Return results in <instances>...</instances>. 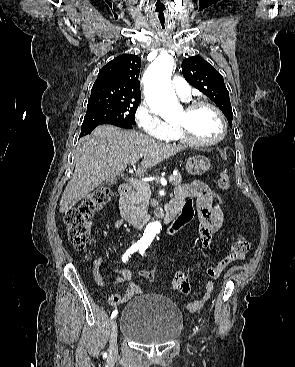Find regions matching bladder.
Segmentation results:
<instances>
[{"label": "bladder", "instance_id": "bladder-1", "mask_svg": "<svg viewBox=\"0 0 295 367\" xmlns=\"http://www.w3.org/2000/svg\"><path fill=\"white\" fill-rule=\"evenodd\" d=\"M180 309L168 298L143 294L130 300L120 317L124 337L145 345L164 344L175 340L182 332Z\"/></svg>", "mask_w": 295, "mask_h": 367}]
</instances>
